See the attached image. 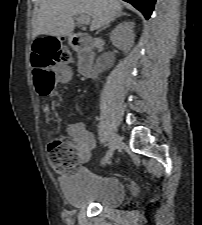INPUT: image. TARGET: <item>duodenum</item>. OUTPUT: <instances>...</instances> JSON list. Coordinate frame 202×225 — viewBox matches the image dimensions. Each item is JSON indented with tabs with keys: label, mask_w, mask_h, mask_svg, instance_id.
Here are the masks:
<instances>
[{
	"label": "duodenum",
	"mask_w": 202,
	"mask_h": 225,
	"mask_svg": "<svg viewBox=\"0 0 202 225\" xmlns=\"http://www.w3.org/2000/svg\"><path fill=\"white\" fill-rule=\"evenodd\" d=\"M60 39L64 42H68L72 49L76 51L79 59V73L86 77H92L95 74V53L91 40L86 35L76 32L63 35Z\"/></svg>",
	"instance_id": "duodenum-1"
}]
</instances>
